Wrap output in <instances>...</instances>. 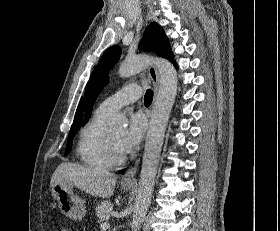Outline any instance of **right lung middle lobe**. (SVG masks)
Wrapping results in <instances>:
<instances>
[{"label": "right lung middle lobe", "mask_w": 280, "mask_h": 231, "mask_svg": "<svg viewBox=\"0 0 280 231\" xmlns=\"http://www.w3.org/2000/svg\"><path fill=\"white\" fill-rule=\"evenodd\" d=\"M79 128H74L71 129L68 135V145H67V149H66V154L67 155L70 152V145L72 144V139L75 136L76 132L78 131Z\"/></svg>", "instance_id": "right-lung-middle-lobe-1"}]
</instances>
